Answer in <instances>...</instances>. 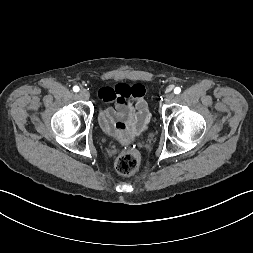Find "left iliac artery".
<instances>
[{
	"label": "left iliac artery",
	"mask_w": 253,
	"mask_h": 253,
	"mask_svg": "<svg viewBox=\"0 0 253 253\" xmlns=\"http://www.w3.org/2000/svg\"><path fill=\"white\" fill-rule=\"evenodd\" d=\"M180 92H181L180 87H176V88L174 89V93H175V94H179Z\"/></svg>",
	"instance_id": "44dca946"
}]
</instances>
